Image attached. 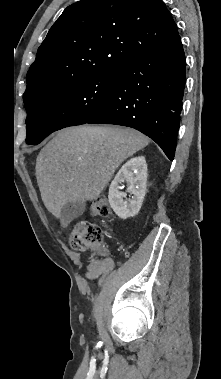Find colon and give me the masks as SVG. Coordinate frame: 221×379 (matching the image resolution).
<instances>
[{"instance_id":"colon-1","label":"colon","mask_w":221,"mask_h":379,"mask_svg":"<svg viewBox=\"0 0 221 379\" xmlns=\"http://www.w3.org/2000/svg\"><path fill=\"white\" fill-rule=\"evenodd\" d=\"M90 213L93 216L107 217L110 214V206L105 197L97 198L90 207ZM102 229L86 219L77 222L72 230L69 242L72 248L76 250H89L97 248L102 242ZM93 267L96 264L92 265Z\"/></svg>"}]
</instances>
